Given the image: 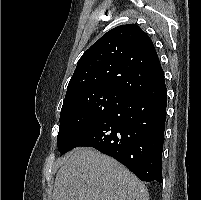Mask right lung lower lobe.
Returning a JSON list of instances; mask_svg holds the SVG:
<instances>
[{"instance_id": "obj_1", "label": "right lung lower lobe", "mask_w": 201, "mask_h": 200, "mask_svg": "<svg viewBox=\"0 0 201 200\" xmlns=\"http://www.w3.org/2000/svg\"><path fill=\"white\" fill-rule=\"evenodd\" d=\"M167 89L162 79L129 96L82 130L64 149L93 147L124 164L142 181L163 183L162 151Z\"/></svg>"}]
</instances>
